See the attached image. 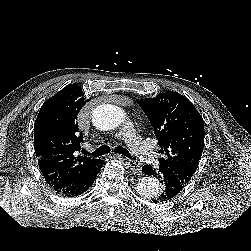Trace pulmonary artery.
I'll use <instances>...</instances> for the list:
<instances>
[{
  "label": "pulmonary artery",
  "instance_id": "1",
  "mask_svg": "<svg viewBox=\"0 0 251 251\" xmlns=\"http://www.w3.org/2000/svg\"><path fill=\"white\" fill-rule=\"evenodd\" d=\"M122 138L138 156L149 163H156V154L153 152L151 145L141 139L132 127H126L119 133Z\"/></svg>",
  "mask_w": 251,
  "mask_h": 251
}]
</instances>
